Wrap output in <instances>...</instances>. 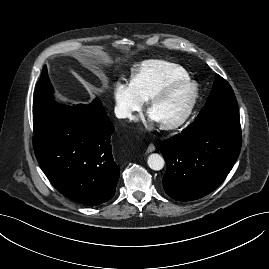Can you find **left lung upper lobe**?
I'll return each instance as SVG.
<instances>
[{
  "label": "left lung upper lobe",
  "mask_w": 269,
  "mask_h": 269,
  "mask_svg": "<svg viewBox=\"0 0 269 269\" xmlns=\"http://www.w3.org/2000/svg\"><path fill=\"white\" fill-rule=\"evenodd\" d=\"M237 100L228 82L220 75L215 76L213 89L199 114H212L217 111L237 108Z\"/></svg>",
  "instance_id": "obj_1"
}]
</instances>
